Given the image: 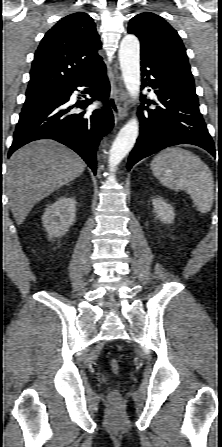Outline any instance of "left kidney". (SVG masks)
I'll list each match as a JSON object with an SVG mask.
<instances>
[{"label": "left kidney", "instance_id": "5707ae66", "mask_svg": "<svg viewBox=\"0 0 222 447\" xmlns=\"http://www.w3.org/2000/svg\"><path fill=\"white\" fill-rule=\"evenodd\" d=\"M154 212L163 223H172L174 221V210L170 204L165 202L162 198H154L152 200Z\"/></svg>", "mask_w": 222, "mask_h": 447}]
</instances>
